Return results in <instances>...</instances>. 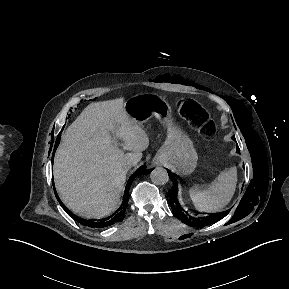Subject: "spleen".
Segmentation results:
<instances>
[{"instance_id": "3e777b00", "label": "spleen", "mask_w": 289, "mask_h": 289, "mask_svg": "<svg viewBox=\"0 0 289 289\" xmlns=\"http://www.w3.org/2000/svg\"><path fill=\"white\" fill-rule=\"evenodd\" d=\"M237 168L222 171L206 189L193 186L190 197L197 210L203 212H221L230 203L236 190Z\"/></svg>"}]
</instances>
